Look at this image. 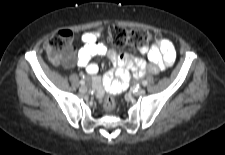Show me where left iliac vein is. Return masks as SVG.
<instances>
[{
  "label": "left iliac vein",
  "instance_id": "left-iliac-vein-1",
  "mask_svg": "<svg viewBox=\"0 0 225 155\" xmlns=\"http://www.w3.org/2000/svg\"><path fill=\"white\" fill-rule=\"evenodd\" d=\"M145 92H146V91H145L144 89L140 88V89L136 90V91L134 92V94H135L136 96H142V95L145 94Z\"/></svg>",
  "mask_w": 225,
  "mask_h": 155
}]
</instances>
